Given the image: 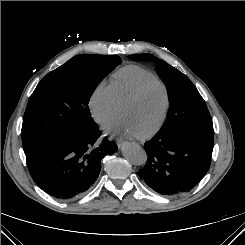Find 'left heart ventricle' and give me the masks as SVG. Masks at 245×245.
<instances>
[{"mask_svg": "<svg viewBox=\"0 0 245 245\" xmlns=\"http://www.w3.org/2000/svg\"><path fill=\"white\" fill-rule=\"evenodd\" d=\"M164 103L162 88L157 84H150L137 99L125 104L120 112L128 124L138 134H142L158 122Z\"/></svg>", "mask_w": 245, "mask_h": 245, "instance_id": "left-heart-ventricle-1", "label": "left heart ventricle"}]
</instances>
